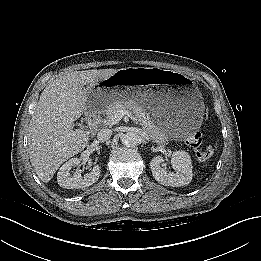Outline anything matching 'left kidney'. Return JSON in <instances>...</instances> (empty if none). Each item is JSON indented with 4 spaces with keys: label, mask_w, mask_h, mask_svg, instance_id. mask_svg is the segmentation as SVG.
Segmentation results:
<instances>
[{
    "label": "left kidney",
    "mask_w": 261,
    "mask_h": 261,
    "mask_svg": "<svg viewBox=\"0 0 261 261\" xmlns=\"http://www.w3.org/2000/svg\"><path fill=\"white\" fill-rule=\"evenodd\" d=\"M164 158L156 156L150 161L153 177L164 186L180 187L188 185L192 180V162L190 155L185 151L173 152L171 165L176 173L168 172L163 167Z\"/></svg>",
    "instance_id": "1"
}]
</instances>
